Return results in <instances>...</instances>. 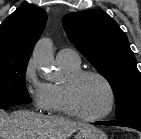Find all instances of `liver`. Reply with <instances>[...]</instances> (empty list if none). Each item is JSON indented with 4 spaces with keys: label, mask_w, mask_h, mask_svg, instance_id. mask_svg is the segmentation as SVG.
<instances>
[{
    "label": "liver",
    "mask_w": 141,
    "mask_h": 139,
    "mask_svg": "<svg viewBox=\"0 0 141 139\" xmlns=\"http://www.w3.org/2000/svg\"><path fill=\"white\" fill-rule=\"evenodd\" d=\"M88 126L60 116H46L29 110L7 114L0 110V139H68Z\"/></svg>",
    "instance_id": "obj_1"
}]
</instances>
